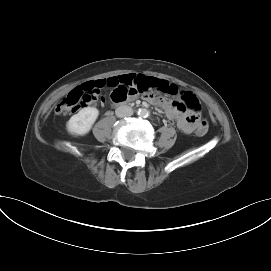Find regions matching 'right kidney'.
<instances>
[{
    "label": "right kidney",
    "mask_w": 271,
    "mask_h": 271,
    "mask_svg": "<svg viewBox=\"0 0 271 271\" xmlns=\"http://www.w3.org/2000/svg\"><path fill=\"white\" fill-rule=\"evenodd\" d=\"M99 111L94 107H86L81 109L77 114L73 115L67 122V130L74 135L87 134L96 119L98 118Z\"/></svg>",
    "instance_id": "1"
}]
</instances>
